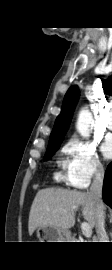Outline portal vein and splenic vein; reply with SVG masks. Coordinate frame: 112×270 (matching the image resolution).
<instances>
[{
	"label": "portal vein and splenic vein",
	"mask_w": 112,
	"mask_h": 270,
	"mask_svg": "<svg viewBox=\"0 0 112 270\" xmlns=\"http://www.w3.org/2000/svg\"><path fill=\"white\" fill-rule=\"evenodd\" d=\"M81 229L85 237L89 238L92 235V228L87 222L81 224Z\"/></svg>",
	"instance_id": "obj_1"
}]
</instances>
